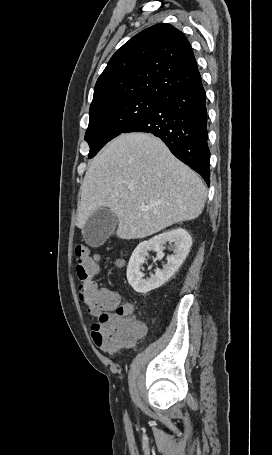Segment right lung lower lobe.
Wrapping results in <instances>:
<instances>
[{
  "mask_svg": "<svg viewBox=\"0 0 272 455\" xmlns=\"http://www.w3.org/2000/svg\"><path fill=\"white\" fill-rule=\"evenodd\" d=\"M147 132L161 138L182 162L197 171L209 186L206 93L201 77L164 98L156 110L123 133Z\"/></svg>",
  "mask_w": 272,
  "mask_h": 455,
  "instance_id": "98d812e1",
  "label": "right lung lower lobe"
}]
</instances>
